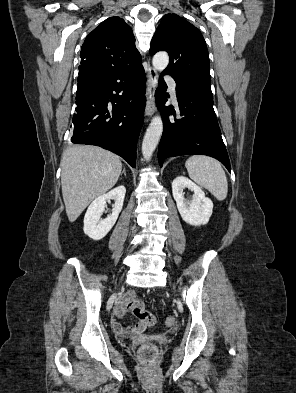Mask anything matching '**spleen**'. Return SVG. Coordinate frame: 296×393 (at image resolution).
<instances>
[{
  "instance_id": "1",
  "label": "spleen",
  "mask_w": 296,
  "mask_h": 393,
  "mask_svg": "<svg viewBox=\"0 0 296 393\" xmlns=\"http://www.w3.org/2000/svg\"><path fill=\"white\" fill-rule=\"evenodd\" d=\"M185 166L189 177L205 187L219 201L228 193V182L221 164L207 156L193 155L187 159Z\"/></svg>"
}]
</instances>
